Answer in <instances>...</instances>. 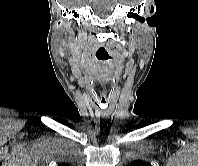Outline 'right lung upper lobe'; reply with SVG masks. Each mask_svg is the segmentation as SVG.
<instances>
[{"mask_svg": "<svg viewBox=\"0 0 198 166\" xmlns=\"http://www.w3.org/2000/svg\"><path fill=\"white\" fill-rule=\"evenodd\" d=\"M59 166H69L68 164H61V165H59Z\"/></svg>", "mask_w": 198, "mask_h": 166, "instance_id": "right-lung-upper-lobe-1", "label": "right lung upper lobe"}]
</instances>
